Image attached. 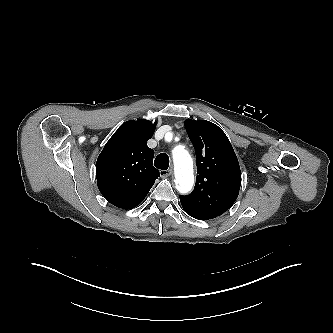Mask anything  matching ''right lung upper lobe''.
Masks as SVG:
<instances>
[{
  "mask_svg": "<svg viewBox=\"0 0 333 333\" xmlns=\"http://www.w3.org/2000/svg\"><path fill=\"white\" fill-rule=\"evenodd\" d=\"M156 123L127 121L106 143L96 162L97 185L113 205L131 209L139 205L160 176L153 167L154 151L147 146Z\"/></svg>",
  "mask_w": 333,
  "mask_h": 333,
  "instance_id": "1",
  "label": "right lung upper lobe"
}]
</instances>
